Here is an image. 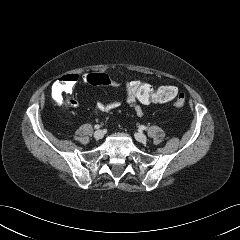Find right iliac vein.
<instances>
[{"label": "right iliac vein", "mask_w": 240, "mask_h": 240, "mask_svg": "<svg viewBox=\"0 0 240 240\" xmlns=\"http://www.w3.org/2000/svg\"><path fill=\"white\" fill-rule=\"evenodd\" d=\"M104 136V132L102 130H97L95 133H94V138L96 140H100L102 139Z\"/></svg>", "instance_id": "right-iliac-vein-1"}]
</instances>
